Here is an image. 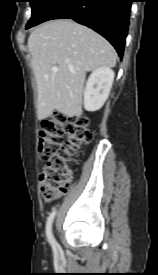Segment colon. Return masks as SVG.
<instances>
[{
	"instance_id": "colon-1",
	"label": "colon",
	"mask_w": 158,
	"mask_h": 275,
	"mask_svg": "<svg viewBox=\"0 0 158 275\" xmlns=\"http://www.w3.org/2000/svg\"><path fill=\"white\" fill-rule=\"evenodd\" d=\"M93 139V131L85 117L68 119L55 114L44 121L38 136V152L45 167L39 176L46 199H58L70 187L73 172L70 159Z\"/></svg>"
}]
</instances>
